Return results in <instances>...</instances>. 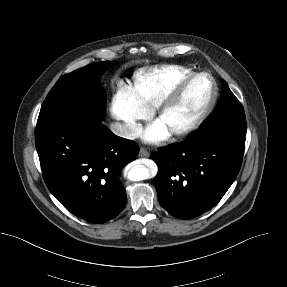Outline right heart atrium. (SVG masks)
Segmentation results:
<instances>
[{
  "mask_svg": "<svg viewBox=\"0 0 287 287\" xmlns=\"http://www.w3.org/2000/svg\"><path fill=\"white\" fill-rule=\"evenodd\" d=\"M110 113L121 123V132L126 138L133 137L139 130L140 121L148 116L127 84L119 85L113 94Z\"/></svg>",
  "mask_w": 287,
  "mask_h": 287,
  "instance_id": "obj_1",
  "label": "right heart atrium"
}]
</instances>
